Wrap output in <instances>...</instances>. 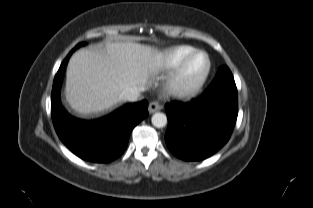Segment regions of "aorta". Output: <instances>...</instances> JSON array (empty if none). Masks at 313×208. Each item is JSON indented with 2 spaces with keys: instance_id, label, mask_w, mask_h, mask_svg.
I'll use <instances>...</instances> for the list:
<instances>
[{
  "instance_id": "aorta-1",
  "label": "aorta",
  "mask_w": 313,
  "mask_h": 208,
  "mask_svg": "<svg viewBox=\"0 0 313 208\" xmlns=\"http://www.w3.org/2000/svg\"><path fill=\"white\" fill-rule=\"evenodd\" d=\"M152 124L157 128H162L167 124V116L164 113H155L152 116Z\"/></svg>"
}]
</instances>
